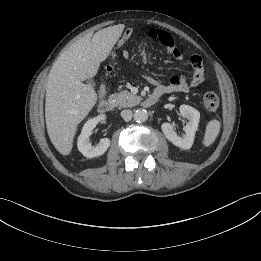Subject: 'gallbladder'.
<instances>
[{
  "label": "gallbladder",
  "instance_id": "bac80fb5",
  "mask_svg": "<svg viewBox=\"0 0 261 261\" xmlns=\"http://www.w3.org/2000/svg\"><path fill=\"white\" fill-rule=\"evenodd\" d=\"M87 83L91 86L94 85V82L92 80H88Z\"/></svg>",
  "mask_w": 261,
  "mask_h": 261
}]
</instances>
